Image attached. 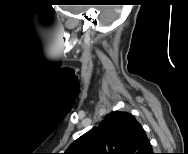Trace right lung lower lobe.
I'll return each instance as SVG.
<instances>
[{
	"label": "right lung lower lobe",
	"instance_id": "98d812e1",
	"mask_svg": "<svg viewBox=\"0 0 188 154\" xmlns=\"http://www.w3.org/2000/svg\"><path fill=\"white\" fill-rule=\"evenodd\" d=\"M147 154H153L152 149L148 151Z\"/></svg>",
	"mask_w": 188,
	"mask_h": 154
}]
</instances>
